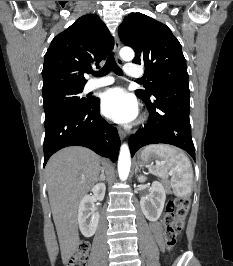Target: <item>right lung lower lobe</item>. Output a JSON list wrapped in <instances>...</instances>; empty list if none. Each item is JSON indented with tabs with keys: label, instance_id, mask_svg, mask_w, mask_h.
Instances as JSON below:
<instances>
[{
	"label": "right lung lower lobe",
	"instance_id": "right-lung-lower-lobe-1",
	"mask_svg": "<svg viewBox=\"0 0 233 266\" xmlns=\"http://www.w3.org/2000/svg\"><path fill=\"white\" fill-rule=\"evenodd\" d=\"M99 105V99L93 98L83 108L45 118L44 166L56 151L73 145L90 148L113 162L117 160L120 138L117 129L100 116Z\"/></svg>",
	"mask_w": 233,
	"mask_h": 266
}]
</instances>
